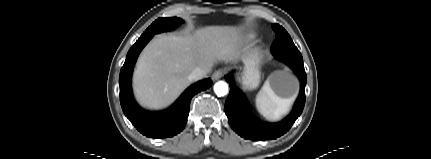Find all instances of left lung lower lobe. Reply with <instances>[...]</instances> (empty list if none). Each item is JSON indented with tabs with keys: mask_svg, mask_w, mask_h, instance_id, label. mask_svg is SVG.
<instances>
[{
	"mask_svg": "<svg viewBox=\"0 0 431 159\" xmlns=\"http://www.w3.org/2000/svg\"><path fill=\"white\" fill-rule=\"evenodd\" d=\"M277 58L288 64L300 80V93L290 115L279 123H263L253 118L243 93L235 86L231 75L225 78L230 83V93L225 103V112L232 129L245 139L263 141L276 139L285 134L301 115L305 104L306 73L301 55L279 54Z\"/></svg>",
	"mask_w": 431,
	"mask_h": 159,
	"instance_id": "left-lung-lower-lobe-1",
	"label": "left lung lower lobe"
}]
</instances>
